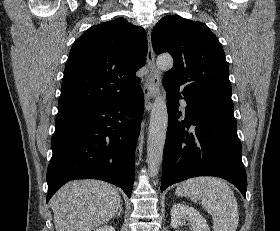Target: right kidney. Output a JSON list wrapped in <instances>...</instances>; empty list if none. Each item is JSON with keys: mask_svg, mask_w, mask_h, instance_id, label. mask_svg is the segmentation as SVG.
Returning <instances> with one entry per match:
<instances>
[{"mask_svg": "<svg viewBox=\"0 0 280 231\" xmlns=\"http://www.w3.org/2000/svg\"><path fill=\"white\" fill-rule=\"evenodd\" d=\"M95 231H115V227L113 225H102V227H97Z\"/></svg>", "mask_w": 280, "mask_h": 231, "instance_id": "ca27d5eb", "label": "right kidney"}]
</instances>
